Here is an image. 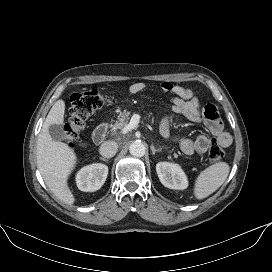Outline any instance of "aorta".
I'll return each instance as SVG.
<instances>
[{
	"mask_svg": "<svg viewBox=\"0 0 272 272\" xmlns=\"http://www.w3.org/2000/svg\"><path fill=\"white\" fill-rule=\"evenodd\" d=\"M146 148L142 142L135 141L131 143L129 147V152L135 157H142L145 155Z\"/></svg>",
	"mask_w": 272,
	"mask_h": 272,
	"instance_id": "obj_1",
	"label": "aorta"
}]
</instances>
